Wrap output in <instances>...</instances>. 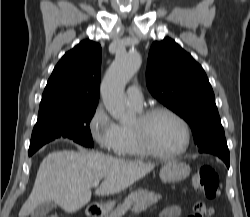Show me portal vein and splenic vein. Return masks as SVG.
Here are the masks:
<instances>
[{"mask_svg":"<svg viewBox=\"0 0 250 217\" xmlns=\"http://www.w3.org/2000/svg\"><path fill=\"white\" fill-rule=\"evenodd\" d=\"M99 179L98 180H95L93 183H92V186L93 187H97L98 186V184H99Z\"/></svg>","mask_w":250,"mask_h":217,"instance_id":"18ae733b","label":"portal vein and splenic vein"}]
</instances>
